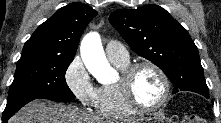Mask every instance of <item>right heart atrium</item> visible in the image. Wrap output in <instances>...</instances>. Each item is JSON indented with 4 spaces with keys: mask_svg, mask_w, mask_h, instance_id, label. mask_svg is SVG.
Here are the masks:
<instances>
[{
    "mask_svg": "<svg viewBox=\"0 0 221 123\" xmlns=\"http://www.w3.org/2000/svg\"><path fill=\"white\" fill-rule=\"evenodd\" d=\"M65 82L72 94L85 108L95 107L98 88L94 85L85 65L75 57L65 71Z\"/></svg>",
    "mask_w": 221,
    "mask_h": 123,
    "instance_id": "d8ad5b80",
    "label": "right heart atrium"
}]
</instances>
